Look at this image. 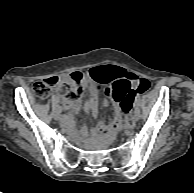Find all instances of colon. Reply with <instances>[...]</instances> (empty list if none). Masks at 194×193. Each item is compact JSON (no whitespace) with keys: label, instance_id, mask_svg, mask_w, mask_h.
<instances>
[{"label":"colon","instance_id":"5ec220e1","mask_svg":"<svg viewBox=\"0 0 194 193\" xmlns=\"http://www.w3.org/2000/svg\"><path fill=\"white\" fill-rule=\"evenodd\" d=\"M82 78L83 74L80 71H76L63 77H51L46 80L36 81L32 84L31 90L37 98L44 99L47 97L52 87L60 85L64 87V96L66 99L77 100L82 95ZM134 80L133 76L122 74L117 78L116 82L108 87L107 93L113 98H116L118 89L122 88L124 94L132 96L136 90H143L146 86L143 80L138 81V85L134 86ZM123 108L129 111L130 105L124 102ZM126 125L131 126L130 117L126 119Z\"/></svg>","mask_w":194,"mask_h":193}]
</instances>
